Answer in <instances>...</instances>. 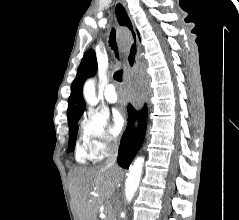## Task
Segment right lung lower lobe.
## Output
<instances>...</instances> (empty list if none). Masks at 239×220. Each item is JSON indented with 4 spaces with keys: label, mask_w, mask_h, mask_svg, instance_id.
Segmentation results:
<instances>
[{
    "label": "right lung lower lobe",
    "mask_w": 239,
    "mask_h": 220,
    "mask_svg": "<svg viewBox=\"0 0 239 220\" xmlns=\"http://www.w3.org/2000/svg\"><path fill=\"white\" fill-rule=\"evenodd\" d=\"M128 114V127L121 138L117 160L118 164L123 168L129 167L144 140L147 126V107L145 105L139 113V124L137 128L133 126L136 111L131 105L128 106Z\"/></svg>",
    "instance_id": "obj_1"
}]
</instances>
